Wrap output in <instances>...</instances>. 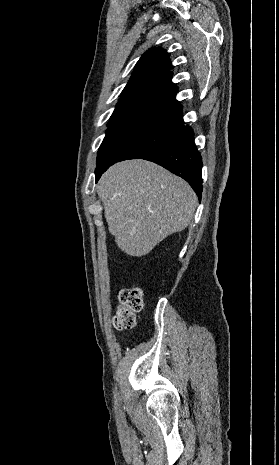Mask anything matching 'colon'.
Wrapping results in <instances>:
<instances>
[{
    "instance_id": "obj_1",
    "label": "colon",
    "mask_w": 279,
    "mask_h": 465,
    "mask_svg": "<svg viewBox=\"0 0 279 465\" xmlns=\"http://www.w3.org/2000/svg\"><path fill=\"white\" fill-rule=\"evenodd\" d=\"M114 316V326L119 330L131 329L136 322V313L143 308V292L139 287L123 289Z\"/></svg>"
}]
</instances>
